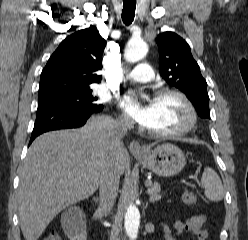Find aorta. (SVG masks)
Listing matches in <instances>:
<instances>
[{"mask_svg": "<svg viewBox=\"0 0 248 240\" xmlns=\"http://www.w3.org/2000/svg\"><path fill=\"white\" fill-rule=\"evenodd\" d=\"M148 52V46L143 40H131L124 51L125 59L134 63L143 59ZM140 225V213L138 208L130 204L125 213L124 226L130 240H136Z\"/></svg>", "mask_w": 248, "mask_h": 240, "instance_id": "aorta-1", "label": "aorta"}]
</instances>
